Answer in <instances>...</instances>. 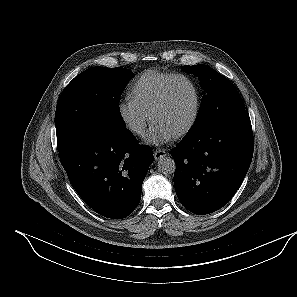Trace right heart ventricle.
Segmentation results:
<instances>
[{
	"label": "right heart ventricle",
	"mask_w": 297,
	"mask_h": 297,
	"mask_svg": "<svg viewBox=\"0 0 297 297\" xmlns=\"http://www.w3.org/2000/svg\"><path fill=\"white\" fill-rule=\"evenodd\" d=\"M177 74L149 70L142 73L131 85V98L142 108L149 111L159 97L163 87Z\"/></svg>",
	"instance_id": "e07e8e85"
}]
</instances>
